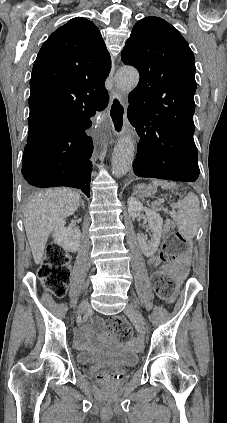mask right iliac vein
<instances>
[{"mask_svg":"<svg viewBox=\"0 0 227 423\" xmlns=\"http://www.w3.org/2000/svg\"><path fill=\"white\" fill-rule=\"evenodd\" d=\"M88 308H89L88 303H84V304L80 307L79 312H82L84 309H88Z\"/></svg>","mask_w":227,"mask_h":423,"instance_id":"1","label":"right iliac vein"}]
</instances>
